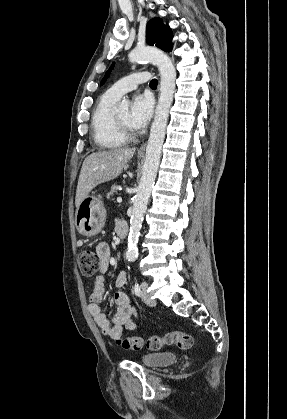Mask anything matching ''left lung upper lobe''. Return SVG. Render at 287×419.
Wrapping results in <instances>:
<instances>
[{
  "mask_svg": "<svg viewBox=\"0 0 287 419\" xmlns=\"http://www.w3.org/2000/svg\"><path fill=\"white\" fill-rule=\"evenodd\" d=\"M172 30L168 25H164L161 18H153L147 23L146 27V42L149 45H155L156 47L162 49L166 52H171L172 50ZM114 63L110 69L106 72L104 78L101 81V85L109 77L111 70L113 69Z\"/></svg>",
  "mask_w": 287,
  "mask_h": 419,
  "instance_id": "left-lung-upper-lobe-1",
  "label": "left lung upper lobe"
}]
</instances>
